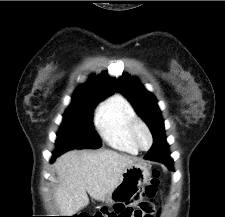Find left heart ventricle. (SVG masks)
Listing matches in <instances>:
<instances>
[{
	"label": "left heart ventricle",
	"instance_id": "left-heart-ventricle-1",
	"mask_svg": "<svg viewBox=\"0 0 225 217\" xmlns=\"http://www.w3.org/2000/svg\"><path fill=\"white\" fill-rule=\"evenodd\" d=\"M138 137H139L140 143H141L143 146H145V147L148 146V144H149V137H148V135L146 134L145 131L140 130V131H139Z\"/></svg>",
	"mask_w": 225,
	"mask_h": 217
}]
</instances>
